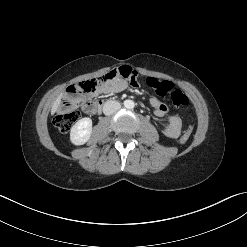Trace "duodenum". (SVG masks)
Instances as JSON below:
<instances>
[{
	"label": "duodenum",
	"mask_w": 247,
	"mask_h": 247,
	"mask_svg": "<svg viewBox=\"0 0 247 247\" xmlns=\"http://www.w3.org/2000/svg\"><path fill=\"white\" fill-rule=\"evenodd\" d=\"M112 100H102L99 102V110H101L105 105L112 103Z\"/></svg>",
	"instance_id": "obj_1"
}]
</instances>
